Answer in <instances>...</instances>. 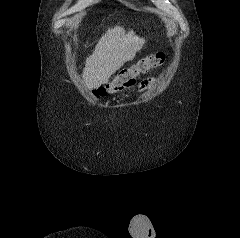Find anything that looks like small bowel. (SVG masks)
<instances>
[{"label": "small bowel", "instance_id": "obj_1", "mask_svg": "<svg viewBox=\"0 0 240 238\" xmlns=\"http://www.w3.org/2000/svg\"><path fill=\"white\" fill-rule=\"evenodd\" d=\"M155 79L153 77L143 80L139 85L140 92H146L154 87Z\"/></svg>", "mask_w": 240, "mask_h": 238}]
</instances>
